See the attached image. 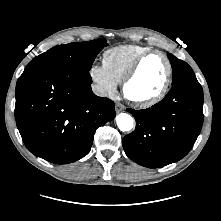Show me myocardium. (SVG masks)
I'll use <instances>...</instances> for the list:
<instances>
[{"mask_svg": "<svg viewBox=\"0 0 221 221\" xmlns=\"http://www.w3.org/2000/svg\"><path fill=\"white\" fill-rule=\"evenodd\" d=\"M153 54H158L162 56L167 65V73H166V78L163 83V86L159 90V92H157L155 95L151 97L144 98V99L134 98L129 94L128 86L131 83V81L134 79V77L137 75L143 61L147 57ZM172 76H173V65L168 55L165 52L161 50H157V49L147 50L135 60V62L132 64V66L130 67L126 75L124 76L123 81H122L123 94L129 102L136 105L137 107H141V108L150 107L152 105L159 103L161 100L165 98L171 86Z\"/></svg>", "mask_w": 221, "mask_h": 221, "instance_id": "myocardium-1", "label": "myocardium"}]
</instances>
